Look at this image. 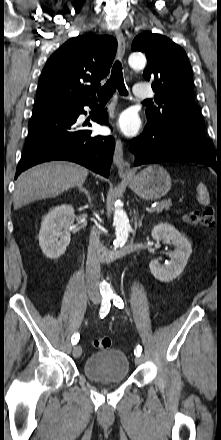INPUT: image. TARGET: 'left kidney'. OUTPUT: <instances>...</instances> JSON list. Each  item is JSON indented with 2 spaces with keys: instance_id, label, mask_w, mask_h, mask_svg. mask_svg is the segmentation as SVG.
Returning a JSON list of instances; mask_svg holds the SVG:
<instances>
[{
  "instance_id": "5707ae66",
  "label": "left kidney",
  "mask_w": 221,
  "mask_h": 440,
  "mask_svg": "<svg viewBox=\"0 0 221 440\" xmlns=\"http://www.w3.org/2000/svg\"><path fill=\"white\" fill-rule=\"evenodd\" d=\"M151 236L156 241L167 240L175 245V251L170 255L169 263L161 265L158 260H152L149 264L150 271L156 279L170 282L184 270L192 253L191 243L174 226L166 222L154 226Z\"/></svg>"
}]
</instances>
